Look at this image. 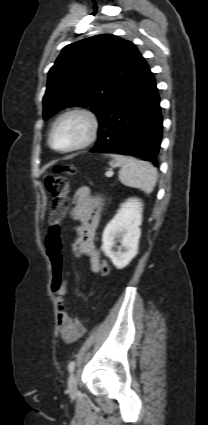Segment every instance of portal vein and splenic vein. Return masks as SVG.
I'll use <instances>...</instances> for the list:
<instances>
[{
  "label": "portal vein and splenic vein",
  "mask_w": 208,
  "mask_h": 425,
  "mask_svg": "<svg viewBox=\"0 0 208 425\" xmlns=\"http://www.w3.org/2000/svg\"><path fill=\"white\" fill-rule=\"evenodd\" d=\"M105 175L106 177L110 178L113 176V171H107Z\"/></svg>",
  "instance_id": "18ae733b"
}]
</instances>
